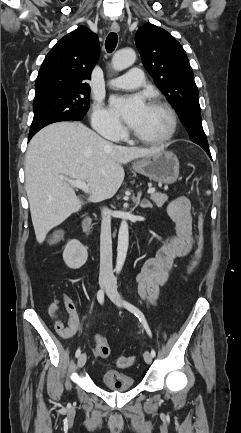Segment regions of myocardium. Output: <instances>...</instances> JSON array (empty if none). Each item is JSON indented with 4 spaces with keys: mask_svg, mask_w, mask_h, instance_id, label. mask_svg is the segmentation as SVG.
<instances>
[{
    "mask_svg": "<svg viewBox=\"0 0 241 433\" xmlns=\"http://www.w3.org/2000/svg\"><path fill=\"white\" fill-rule=\"evenodd\" d=\"M149 105L161 108L167 112V114L170 118V128H169L168 132L159 138H148V137L140 135L139 133L135 132L134 130L132 131V134L137 140H139L140 142L146 143V144H150V145L165 144L173 138V136L175 135V133L177 131V127H178L177 114L170 104H168L167 102L160 100V99L152 100Z\"/></svg>",
    "mask_w": 241,
    "mask_h": 433,
    "instance_id": "1",
    "label": "myocardium"
}]
</instances>
